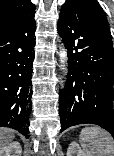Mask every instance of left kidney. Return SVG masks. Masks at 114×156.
<instances>
[{
  "mask_svg": "<svg viewBox=\"0 0 114 156\" xmlns=\"http://www.w3.org/2000/svg\"><path fill=\"white\" fill-rule=\"evenodd\" d=\"M67 156H86V154L84 153V151H82L79 144L73 141L68 147Z\"/></svg>",
  "mask_w": 114,
  "mask_h": 156,
  "instance_id": "1",
  "label": "left kidney"
}]
</instances>
